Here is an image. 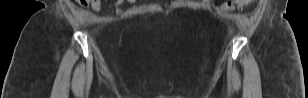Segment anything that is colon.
Segmentation results:
<instances>
[{"label":"colon","mask_w":308,"mask_h":98,"mask_svg":"<svg viewBox=\"0 0 308 98\" xmlns=\"http://www.w3.org/2000/svg\"><path fill=\"white\" fill-rule=\"evenodd\" d=\"M89 0H80L79 2L81 4H86ZM251 3V0H234V1H228L225 2L219 6H217L218 10H224V11H232L235 9L236 6H242Z\"/></svg>","instance_id":"1"}]
</instances>
